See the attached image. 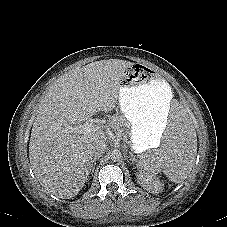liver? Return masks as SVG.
I'll return each mask as SVG.
<instances>
[{"label":"liver","instance_id":"1","mask_svg":"<svg viewBox=\"0 0 227 227\" xmlns=\"http://www.w3.org/2000/svg\"><path fill=\"white\" fill-rule=\"evenodd\" d=\"M133 63L119 59L92 62L57 79L41 99L29 143V159L40 184L70 199L84 187L92 166V146L107 139L104 129L90 133L73 128L97 111L111 112L119 100L120 81Z\"/></svg>","mask_w":227,"mask_h":227}]
</instances>
